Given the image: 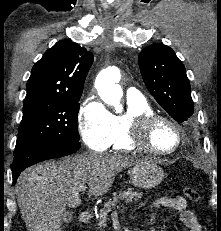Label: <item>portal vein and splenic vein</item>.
Instances as JSON below:
<instances>
[{
    "instance_id": "portal-vein-and-splenic-vein-1",
    "label": "portal vein and splenic vein",
    "mask_w": 221,
    "mask_h": 231,
    "mask_svg": "<svg viewBox=\"0 0 221 231\" xmlns=\"http://www.w3.org/2000/svg\"><path fill=\"white\" fill-rule=\"evenodd\" d=\"M86 190V186H82L81 188H80V192H84Z\"/></svg>"
}]
</instances>
